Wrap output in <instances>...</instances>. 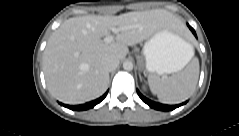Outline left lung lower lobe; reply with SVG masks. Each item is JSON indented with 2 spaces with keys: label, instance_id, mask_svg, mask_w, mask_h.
<instances>
[{
  "label": "left lung lower lobe",
  "instance_id": "obj_1",
  "mask_svg": "<svg viewBox=\"0 0 239 136\" xmlns=\"http://www.w3.org/2000/svg\"><path fill=\"white\" fill-rule=\"evenodd\" d=\"M188 27L190 28V30L193 32V34L196 36V33L194 31V29L188 25ZM137 93L139 95V97L141 98V100H143L146 104H148L151 108H154L156 110H160V111H171L174 110L175 108H178L179 106H182L184 103L182 104H178V105H165V104H160L154 101L149 100L148 98L144 97L138 90Z\"/></svg>",
  "mask_w": 239,
  "mask_h": 136
}]
</instances>
